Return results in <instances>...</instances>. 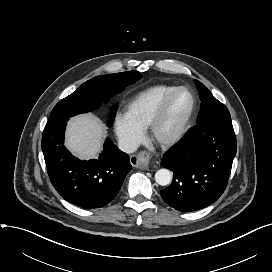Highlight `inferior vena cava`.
<instances>
[{"mask_svg": "<svg viewBox=\"0 0 272 272\" xmlns=\"http://www.w3.org/2000/svg\"><path fill=\"white\" fill-rule=\"evenodd\" d=\"M118 147L121 151L130 154L135 152L139 145L134 141L120 140L118 143Z\"/></svg>", "mask_w": 272, "mask_h": 272, "instance_id": "obj_1", "label": "inferior vena cava"}]
</instances>
